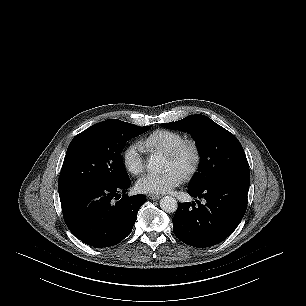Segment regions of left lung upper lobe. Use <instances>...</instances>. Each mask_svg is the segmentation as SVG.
<instances>
[{
  "instance_id": "1",
  "label": "left lung upper lobe",
  "mask_w": 306,
  "mask_h": 306,
  "mask_svg": "<svg viewBox=\"0 0 306 306\" xmlns=\"http://www.w3.org/2000/svg\"><path fill=\"white\" fill-rule=\"evenodd\" d=\"M162 126L188 131L195 140L201 158L188 187L224 178L250 179L248 161L238 139L207 116L190 115Z\"/></svg>"
}]
</instances>
